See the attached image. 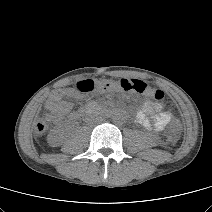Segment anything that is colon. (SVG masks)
<instances>
[{"instance_id":"5ec220e1","label":"colon","mask_w":212,"mask_h":212,"mask_svg":"<svg viewBox=\"0 0 212 212\" xmlns=\"http://www.w3.org/2000/svg\"><path fill=\"white\" fill-rule=\"evenodd\" d=\"M76 88L79 92L86 95H95L99 92L110 91L112 93H119L121 91L126 92H139L151 96L157 101H160L164 98V92L151 86L150 84L136 79H127V78H118L110 79L108 81L99 80L97 78L85 79L79 81L76 84ZM47 129V122L44 119H41L36 122L34 131L37 135L43 134ZM179 125L175 123L172 130L171 140L176 139V134L178 132Z\"/></svg>"}]
</instances>
